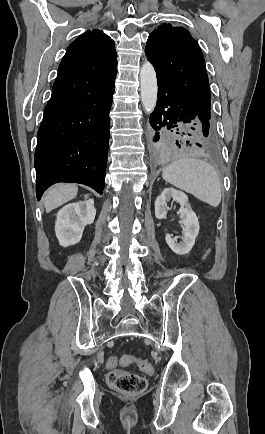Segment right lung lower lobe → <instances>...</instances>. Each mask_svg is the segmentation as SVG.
Returning <instances> with one entry per match:
<instances>
[{"instance_id": "obj_1", "label": "right lung lower lobe", "mask_w": 265, "mask_h": 434, "mask_svg": "<svg viewBox=\"0 0 265 434\" xmlns=\"http://www.w3.org/2000/svg\"><path fill=\"white\" fill-rule=\"evenodd\" d=\"M116 52L67 50L38 130L36 194L56 182L103 194Z\"/></svg>"}]
</instances>
